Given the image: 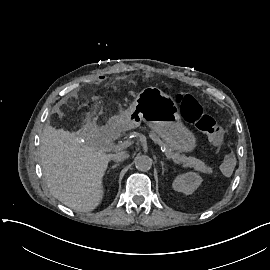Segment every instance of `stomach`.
I'll use <instances>...</instances> for the list:
<instances>
[{
  "label": "stomach",
  "instance_id": "0dacf381",
  "mask_svg": "<svg viewBox=\"0 0 270 270\" xmlns=\"http://www.w3.org/2000/svg\"><path fill=\"white\" fill-rule=\"evenodd\" d=\"M120 120L124 129L138 127L143 121L176 153H190L198 146V137L183 123L177 102L158 87L142 89Z\"/></svg>",
  "mask_w": 270,
  "mask_h": 270
}]
</instances>
